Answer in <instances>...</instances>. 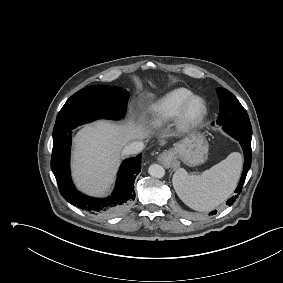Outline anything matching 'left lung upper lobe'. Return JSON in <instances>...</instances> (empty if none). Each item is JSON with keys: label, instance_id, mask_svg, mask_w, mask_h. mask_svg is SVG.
<instances>
[{"label": "left lung upper lobe", "instance_id": "obj_1", "mask_svg": "<svg viewBox=\"0 0 283 283\" xmlns=\"http://www.w3.org/2000/svg\"><path fill=\"white\" fill-rule=\"evenodd\" d=\"M216 91L220 99L217 124L237 140L251 137L252 128L248 114L237 98L224 88H217Z\"/></svg>", "mask_w": 283, "mask_h": 283}]
</instances>
